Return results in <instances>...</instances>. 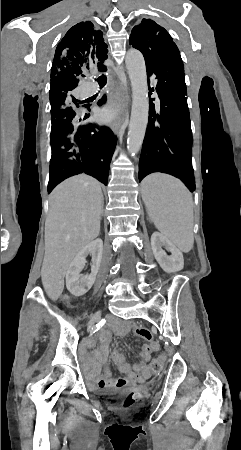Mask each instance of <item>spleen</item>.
Here are the masks:
<instances>
[{
  "label": "spleen",
  "instance_id": "obj_1",
  "mask_svg": "<svg viewBox=\"0 0 241 450\" xmlns=\"http://www.w3.org/2000/svg\"><path fill=\"white\" fill-rule=\"evenodd\" d=\"M141 194L159 232L188 254L194 244L192 194L188 188L168 174H150L141 182Z\"/></svg>",
  "mask_w": 241,
  "mask_h": 450
}]
</instances>
